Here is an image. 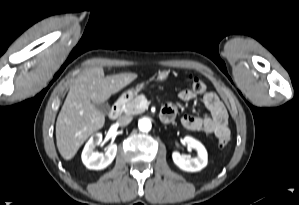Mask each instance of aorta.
Listing matches in <instances>:
<instances>
[{"label": "aorta", "instance_id": "aorta-1", "mask_svg": "<svg viewBox=\"0 0 299 205\" xmlns=\"http://www.w3.org/2000/svg\"><path fill=\"white\" fill-rule=\"evenodd\" d=\"M139 130L142 132H148L151 130V121L147 118L140 119L138 122Z\"/></svg>", "mask_w": 299, "mask_h": 205}]
</instances>
